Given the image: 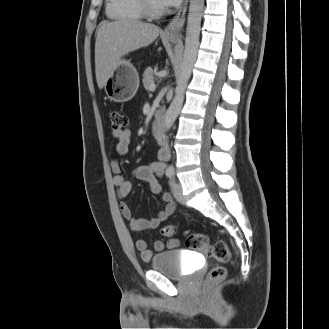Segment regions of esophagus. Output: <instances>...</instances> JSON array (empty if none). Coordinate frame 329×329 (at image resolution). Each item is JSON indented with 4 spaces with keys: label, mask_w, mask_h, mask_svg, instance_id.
Listing matches in <instances>:
<instances>
[{
    "label": "esophagus",
    "mask_w": 329,
    "mask_h": 329,
    "mask_svg": "<svg viewBox=\"0 0 329 329\" xmlns=\"http://www.w3.org/2000/svg\"><path fill=\"white\" fill-rule=\"evenodd\" d=\"M189 0H184L182 6L177 14L172 18L170 23L166 26L164 34L166 36L179 37L185 22V16L188 8Z\"/></svg>",
    "instance_id": "esophagus-1"
}]
</instances>
